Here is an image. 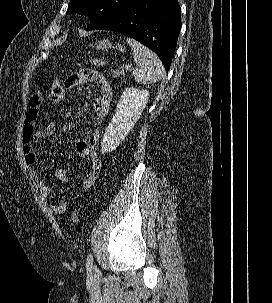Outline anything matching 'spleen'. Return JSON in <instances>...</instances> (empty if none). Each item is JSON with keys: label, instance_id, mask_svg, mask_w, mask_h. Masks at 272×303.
I'll use <instances>...</instances> for the list:
<instances>
[{"label": "spleen", "instance_id": "spleen-1", "mask_svg": "<svg viewBox=\"0 0 272 303\" xmlns=\"http://www.w3.org/2000/svg\"><path fill=\"white\" fill-rule=\"evenodd\" d=\"M127 42L133 50V59L137 65L132 73L136 82L152 84L165 77L164 66L154 52L132 38H127Z\"/></svg>", "mask_w": 272, "mask_h": 303}]
</instances>
